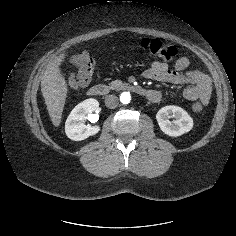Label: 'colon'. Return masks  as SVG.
Returning a JSON list of instances; mask_svg holds the SVG:
<instances>
[{"label":"colon","mask_w":236,"mask_h":236,"mask_svg":"<svg viewBox=\"0 0 236 236\" xmlns=\"http://www.w3.org/2000/svg\"><path fill=\"white\" fill-rule=\"evenodd\" d=\"M141 47L150 55L165 61L172 60L177 54V50L174 46L166 45L157 39L144 38L141 41ZM73 63L78 68L77 73L65 74L64 80L66 84L72 88H82L86 86L92 78L94 60L90 55L81 53L73 58ZM192 109L194 112H201L203 105L200 102H196L193 104Z\"/></svg>","instance_id":"5ec220e1"}]
</instances>
